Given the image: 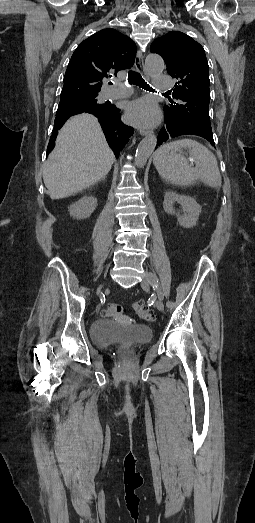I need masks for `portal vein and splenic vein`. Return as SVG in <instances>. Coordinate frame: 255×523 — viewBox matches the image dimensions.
Here are the masks:
<instances>
[{
  "label": "portal vein and splenic vein",
  "instance_id": "1",
  "mask_svg": "<svg viewBox=\"0 0 255 523\" xmlns=\"http://www.w3.org/2000/svg\"><path fill=\"white\" fill-rule=\"evenodd\" d=\"M190 165H193V162H190Z\"/></svg>",
  "mask_w": 255,
  "mask_h": 523
}]
</instances>
